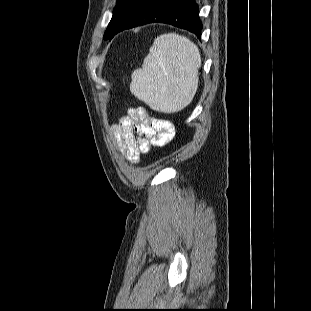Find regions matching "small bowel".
Wrapping results in <instances>:
<instances>
[{"label":"small bowel","instance_id":"obj_1","mask_svg":"<svg viewBox=\"0 0 311 311\" xmlns=\"http://www.w3.org/2000/svg\"><path fill=\"white\" fill-rule=\"evenodd\" d=\"M112 132L122 155L128 161L137 163L142 154L171 141L174 127L167 120L150 116L143 108H134L120 119Z\"/></svg>","mask_w":311,"mask_h":311}]
</instances>
